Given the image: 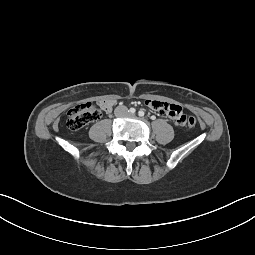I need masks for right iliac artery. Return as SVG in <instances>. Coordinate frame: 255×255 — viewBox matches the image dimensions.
I'll use <instances>...</instances> for the list:
<instances>
[{"mask_svg": "<svg viewBox=\"0 0 255 255\" xmlns=\"http://www.w3.org/2000/svg\"><path fill=\"white\" fill-rule=\"evenodd\" d=\"M129 112H130L131 114H134V113L136 112V109H135V108H130V109H129Z\"/></svg>", "mask_w": 255, "mask_h": 255, "instance_id": "obj_1", "label": "right iliac artery"}]
</instances>
